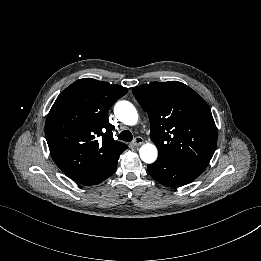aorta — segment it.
<instances>
[{
  "instance_id": "1",
  "label": "aorta",
  "mask_w": 261,
  "mask_h": 261,
  "mask_svg": "<svg viewBox=\"0 0 261 261\" xmlns=\"http://www.w3.org/2000/svg\"><path fill=\"white\" fill-rule=\"evenodd\" d=\"M115 114L126 125H135L138 122V113L130 102H118L115 106ZM139 152L142 161L146 163H152L157 158V149L153 144H144Z\"/></svg>"
}]
</instances>
